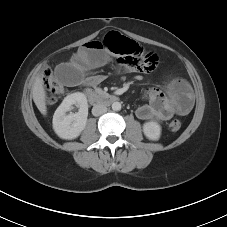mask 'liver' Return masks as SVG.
<instances>
[{
	"label": "liver",
	"instance_id": "6515ba94",
	"mask_svg": "<svg viewBox=\"0 0 227 227\" xmlns=\"http://www.w3.org/2000/svg\"><path fill=\"white\" fill-rule=\"evenodd\" d=\"M32 96L38 110L42 115L45 116L47 114L46 92L44 89V81L41 74L36 77L35 82L32 86Z\"/></svg>",
	"mask_w": 227,
	"mask_h": 227
}]
</instances>
